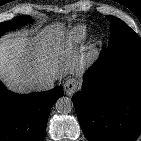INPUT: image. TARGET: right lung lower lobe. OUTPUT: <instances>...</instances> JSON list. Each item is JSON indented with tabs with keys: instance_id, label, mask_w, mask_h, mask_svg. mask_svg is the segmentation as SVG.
Returning <instances> with one entry per match:
<instances>
[{
	"instance_id": "1",
	"label": "right lung lower lobe",
	"mask_w": 141,
	"mask_h": 141,
	"mask_svg": "<svg viewBox=\"0 0 141 141\" xmlns=\"http://www.w3.org/2000/svg\"><path fill=\"white\" fill-rule=\"evenodd\" d=\"M61 96L62 86L18 95L0 82V141H43L49 111Z\"/></svg>"
}]
</instances>
